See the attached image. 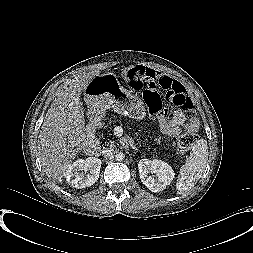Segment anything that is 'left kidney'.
I'll list each match as a JSON object with an SVG mask.
<instances>
[{
  "label": "left kidney",
  "instance_id": "obj_1",
  "mask_svg": "<svg viewBox=\"0 0 253 253\" xmlns=\"http://www.w3.org/2000/svg\"><path fill=\"white\" fill-rule=\"evenodd\" d=\"M140 179L152 192H160L174 179L172 167L158 159H141L138 163Z\"/></svg>",
  "mask_w": 253,
  "mask_h": 253
}]
</instances>
